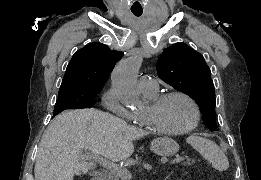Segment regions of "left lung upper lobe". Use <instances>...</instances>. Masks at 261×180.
I'll return each mask as SVG.
<instances>
[{
	"mask_svg": "<svg viewBox=\"0 0 261 180\" xmlns=\"http://www.w3.org/2000/svg\"><path fill=\"white\" fill-rule=\"evenodd\" d=\"M157 73L164 82L194 99L206 126L217 130L215 92L210 68L203 56L179 42L164 50L157 62Z\"/></svg>",
	"mask_w": 261,
	"mask_h": 180,
	"instance_id": "left-lung-upper-lobe-1",
	"label": "left lung upper lobe"
}]
</instances>
